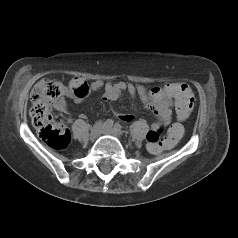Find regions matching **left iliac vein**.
<instances>
[{"label": "left iliac vein", "mask_w": 238, "mask_h": 238, "mask_svg": "<svg viewBox=\"0 0 238 238\" xmlns=\"http://www.w3.org/2000/svg\"><path fill=\"white\" fill-rule=\"evenodd\" d=\"M103 133L106 134V135H111V136L117 137V138L120 137V133L118 131H116L115 129H113V128H107L106 127L103 130Z\"/></svg>", "instance_id": "4c4485c4"}]
</instances>
